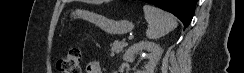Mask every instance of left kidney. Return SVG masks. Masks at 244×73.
I'll return each mask as SVG.
<instances>
[{
  "label": "left kidney",
  "instance_id": "obj_1",
  "mask_svg": "<svg viewBox=\"0 0 244 73\" xmlns=\"http://www.w3.org/2000/svg\"><path fill=\"white\" fill-rule=\"evenodd\" d=\"M143 51H147L148 63L145 65L144 69L137 71L136 73H154V69L162 55V50L160 46L154 42L140 41L135 43L126 51L123 56V60L130 61L133 60L135 55L138 53L142 54Z\"/></svg>",
  "mask_w": 244,
  "mask_h": 73
}]
</instances>
